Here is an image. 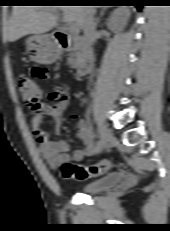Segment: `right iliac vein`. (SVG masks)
Returning <instances> with one entry per match:
<instances>
[{"label": "right iliac vein", "mask_w": 170, "mask_h": 231, "mask_svg": "<svg viewBox=\"0 0 170 231\" xmlns=\"http://www.w3.org/2000/svg\"><path fill=\"white\" fill-rule=\"evenodd\" d=\"M98 130H99L100 148L105 149L108 146L111 139L109 129L105 124L99 123Z\"/></svg>", "instance_id": "63e3f726"}]
</instances>
